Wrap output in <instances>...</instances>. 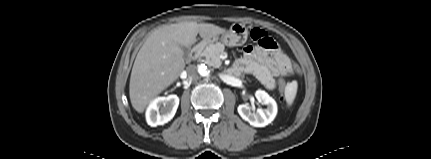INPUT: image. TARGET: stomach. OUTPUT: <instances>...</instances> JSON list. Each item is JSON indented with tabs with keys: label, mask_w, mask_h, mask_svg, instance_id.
I'll use <instances>...</instances> for the list:
<instances>
[{
	"label": "stomach",
	"mask_w": 431,
	"mask_h": 159,
	"mask_svg": "<svg viewBox=\"0 0 431 159\" xmlns=\"http://www.w3.org/2000/svg\"><path fill=\"white\" fill-rule=\"evenodd\" d=\"M248 37V31L243 24L234 23L229 30L217 35L207 41L208 44L220 40L223 44L228 47L241 46L243 45Z\"/></svg>",
	"instance_id": "0dacf381"
}]
</instances>
